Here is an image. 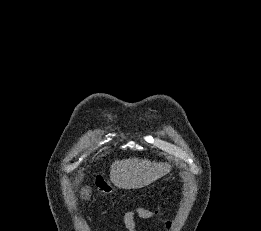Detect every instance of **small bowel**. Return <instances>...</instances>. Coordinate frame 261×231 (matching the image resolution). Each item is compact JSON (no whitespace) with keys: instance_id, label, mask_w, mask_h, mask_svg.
I'll use <instances>...</instances> for the list:
<instances>
[{"instance_id":"small-bowel-1","label":"small bowel","mask_w":261,"mask_h":231,"mask_svg":"<svg viewBox=\"0 0 261 231\" xmlns=\"http://www.w3.org/2000/svg\"><path fill=\"white\" fill-rule=\"evenodd\" d=\"M157 214L149 209L138 206L133 210L124 213L122 220L128 231H136V218L139 217L144 220H153ZM166 225L169 227L170 222L166 221Z\"/></svg>"}]
</instances>
